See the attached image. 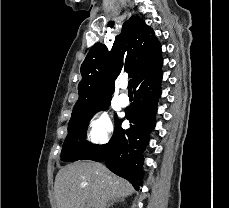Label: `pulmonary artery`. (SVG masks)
<instances>
[{
  "instance_id": "pulmonary-artery-1",
  "label": "pulmonary artery",
  "mask_w": 229,
  "mask_h": 208,
  "mask_svg": "<svg viewBox=\"0 0 229 208\" xmlns=\"http://www.w3.org/2000/svg\"><path fill=\"white\" fill-rule=\"evenodd\" d=\"M120 87L122 89V93L119 96V103L122 106H127L129 104V97H128L127 93H125V90L127 88V81L126 80H123L121 82V84H120Z\"/></svg>"
}]
</instances>
